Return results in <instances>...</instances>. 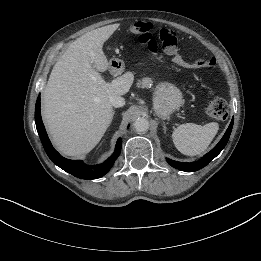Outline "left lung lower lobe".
<instances>
[{"instance_id": "obj_1", "label": "left lung lower lobe", "mask_w": 261, "mask_h": 261, "mask_svg": "<svg viewBox=\"0 0 261 261\" xmlns=\"http://www.w3.org/2000/svg\"><path fill=\"white\" fill-rule=\"evenodd\" d=\"M232 127H233V119H232L226 133L224 134L223 138L220 140V142L210 152L205 154L201 160L196 161V162H191V163H183V162L173 161V160L167 158V162L174 168H177L181 171H186V172L197 171V170L205 167L226 146L228 139L230 137L231 131H232Z\"/></svg>"}]
</instances>
